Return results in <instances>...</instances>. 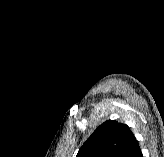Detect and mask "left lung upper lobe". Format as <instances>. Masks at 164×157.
<instances>
[{"label":"left lung upper lobe","instance_id":"1","mask_svg":"<svg viewBox=\"0 0 164 157\" xmlns=\"http://www.w3.org/2000/svg\"><path fill=\"white\" fill-rule=\"evenodd\" d=\"M135 140L127 125L108 120L84 142L76 157H126Z\"/></svg>","mask_w":164,"mask_h":157}]
</instances>
